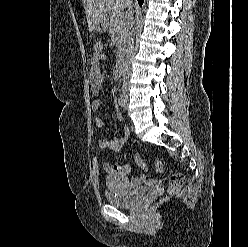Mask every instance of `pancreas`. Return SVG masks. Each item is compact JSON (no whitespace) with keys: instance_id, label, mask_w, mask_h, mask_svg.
<instances>
[{"instance_id":"cf45deb5","label":"pancreas","mask_w":248,"mask_h":247,"mask_svg":"<svg viewBox=\"0 0 248 247\" xmlns=\"http://www.w3.org/2000/svg\"><path fill=\"white\" fill-rule=\"evenodd\" d=\"M127 33V24L124 16L111 15L109 22V34L111 35L112 41L116 44L117 55L124 53Z\"/></svg>"}]
</instances>
